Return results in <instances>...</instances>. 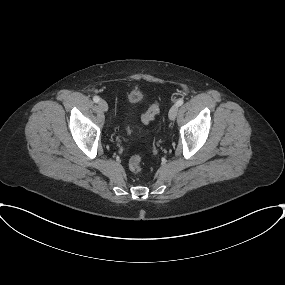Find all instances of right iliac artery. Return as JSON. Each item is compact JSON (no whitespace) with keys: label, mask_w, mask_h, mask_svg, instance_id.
<instances>
[{"label":"right iliac artery","mask_w":285,"mask_h":285,"mask_svg":"<svg viewBox=\"0 0 285 285\" xmlns=\"http://www.w3.org/2000/svg\"><path fill=\"white\" fill-rule=\"evenodd\" d=\"M93 100H94L95 103H98V102L100 101V98H99L98 96H95V97L93 98Z\"/></svg>","instance_id":"1"}]
</instances>
